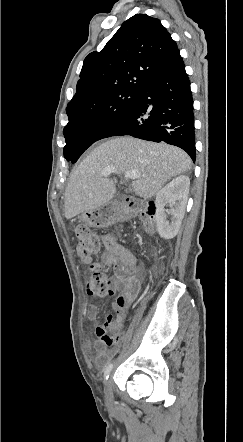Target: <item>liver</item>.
<instances>
[{
	"label": "liver",
	"mask_w": 243,
	"mask_h": 442,
	"mask_svg": "<svg viewBox=\"0 0 243 442\" xmlns=\"http://www.w3.org/2000/svg\"><path fill=\"white\" fill-rule=\"evenodd\" d=\"M188 154L165 143L117 137L96 147L71 174L65 190V217L71 219L86 211L106 205L116 192L112 179L102 171L112 166L119 173L137 170L132 182L134 192L152 198L171 178L191 169Z\"/></svg>",
	"instance_id": "obj_1"
}]
</instances>
